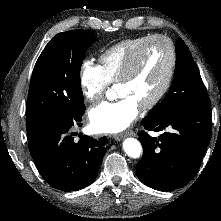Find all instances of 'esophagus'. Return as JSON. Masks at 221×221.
Masks as SVG:
<instances>
[{
	"label": "esophagus",
	"mask_w": 221,
	"mask_h": 221,
	"mask_svg": "<svg viewBox=\"0 0 221 221\" xmlns=\"http://www.w3.org/2000/svg\"><path fill=\"white\" fill-rule=\"evenodd\" d=\"M126 136H134V132H133V131H130V132H126V133H124V134L114 135L113 138H114L116 141H120V140H122L123 138H125Z\"/></svg>",
	"instance_id": "obj_1"
}]
</instances>
